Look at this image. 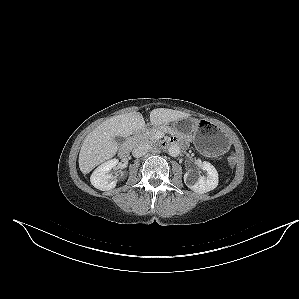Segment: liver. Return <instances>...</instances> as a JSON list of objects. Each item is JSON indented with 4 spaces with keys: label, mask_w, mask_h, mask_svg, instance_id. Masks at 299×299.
Wrapping results in <instances>:
<instances>
[{
    "label": "liver",
    "mask_w": 299,
    "mask_h": 299,
    "mask_svg": "<svg viewBox=\"0 0 299 299\" xmlns=\"http://www.w3.org/2000/svg\"><path fill=\"white\" fill-rule=\"evenodd\" d=\"M189 116L190 114L186 112L158 108L150 112V122L154 126H159ZM145 127L144 118L139 112L125 113L105 120L83 141L79 153L80 171L87 174L100 163L112 158L118 150V144L114 137H128L135 132L144 130Z\"/></svg>",
    "instance_id": "obj_1"
}]
</instances>
